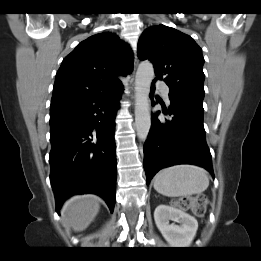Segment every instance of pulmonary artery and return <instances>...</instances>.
<instances>
[{
  "instance_id": "1",
  "label": "pulmonary artery",
  "mask_w": 261,
  "mask_h": 261,
  "mask_svg": "<svg viewBox=\"0 0 261 261\" xmlns=\"http://www.w3.org/2000/svg\"><path fill=\"white\" fill-rule=\"evenodd\" d=\"M156 88L160 91L165 100H169V88L163 81H157L155 83Z\"/></svg>"
}]
</instances>
